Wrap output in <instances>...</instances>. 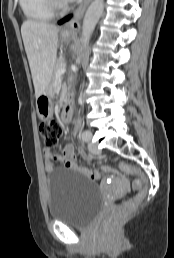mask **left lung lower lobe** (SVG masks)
Returning a JSON list of instances; mask_svg holds the SVG:
<instances>
[{
    "instance_id": "0a47b994",
    "label": "left lung lower lobe",
    "mask_w": 174,
    "mask_h": 258,
    "mask_svg": "<svg viewBox=\"0 0 174 258\" xmlns=\"http://www.w3.org/2000/svg\"><path fill=\"white\" fill-rule=\"evenodd\" d=\"M70 17H71V16H68V17L64 18L63 20H61V21L59 22V24H62L63 22L68 21V20L70 19Z\"/></svg>"
}]
</instances>
